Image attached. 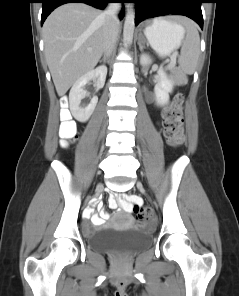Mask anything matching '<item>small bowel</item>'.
<instances>
[{
  "label": "small bowel",
  "instance_id": "obj_1",
  "mask_svg": "<svg viewBox=\"0 0 239 296\" xmlns=\"http://www.w3.org/2000/svg\"><path fill=\"white\" fill-rule=\"evenodd\" d=\"M133 204H142V200L134 195H112L109 199V207L111 209L120 208L124 212L130 213L133 208ZM87 217H90L91 222L96 226H101L110 217V214L101 210L100 214H96L87 210L85 212Z\"/></svg>",
  "mask_w": 239,
  "mask_h": 296
}]
</instances>
